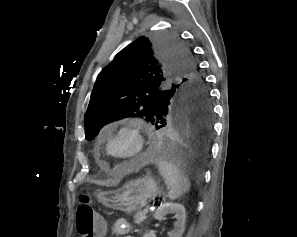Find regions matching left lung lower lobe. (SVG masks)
I'll use <instances>...</instances> for the list:
<instances>
[{"instance_id":"left-lung-lower-lobe-1","label":"left lung lower lobe","mask_w":297,"mask_h":237,"mask_svg":"<svg viewBox=\"0 0 297 237\" xmlns=\"http://www.w3.org/2000/svg\"><path fill=\"white\" fill-rule=\"evenodd\" d=\"M165 115L166 119L156 128L160 131L148 154L182 166L201 165L208 155L212 135L211 102L176 103Z\"/></svg>"}]
</instances>
